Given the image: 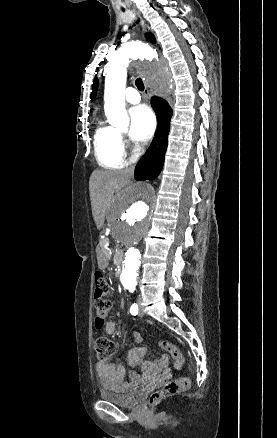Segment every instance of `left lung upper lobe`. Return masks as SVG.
<instances>
[{"mask_svg": "<svg viewBox=\"0 0 277 438\" xmlns=\"http://www.w3.org/2000/svg\"><path fill=\"white\" fill-rule=\"evenodd\" d=\"M146 38H147L148 41H150V42H152V43H155L154 36H153L151 33H147V34H146ZM97 88H98V79L95 78V79H94V84H93V91H92V94H91V98H92V99H93V98L95 97V95H96Z\"/></svg>", "mask_w": 277, "mask_h": 438, "instance_id": "obj_1", "label": "left lung upper lobe"}]
</instances>
